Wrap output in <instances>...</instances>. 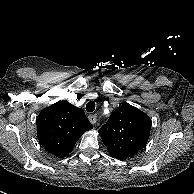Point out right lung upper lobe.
Returning <instances> with one entry per match:
<instances>
[{"label": "right lung upper lobe", "mask_w": 194, "mask_h": 194, "mask_svg": "<svg viewBox=\"0 0 194 194\" xmlns=\"http://www.w3.org/2000/svg\"><path fill=\"white\" fill-rule=\"evenodd\" d=\"M36 122L39 143L59 158L66 157L80 136L93 128L84 111L66 100L42 110Z\"/></svg>", "instance_id": "right-lung-upper-lobe-1"}]
</instances>
